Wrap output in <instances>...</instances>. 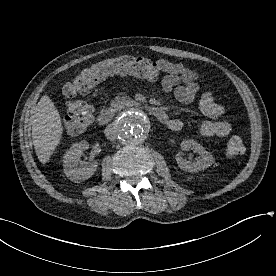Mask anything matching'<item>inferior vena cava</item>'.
Returning a JSON list of instances; mask_svg holds the SVG:
<instances>
[{"label": "inferior vena cava", "mask_w": 276, "mask_h": 276, "mask_svg": "<svg viewBox=\"0 0 276 276\" xmlns=\"http://www.w3.org/2000/svg\"><path fill=\"white\" fill-rule=\"evenodd\" d=\"M105 135L109 140L111 141L115 140L117 138L116 125L113 123L109 124L105 129Z\"/></svg>", "instance_id": "inferior-vena-cava-1"}]
</instances>
